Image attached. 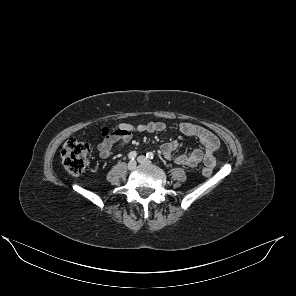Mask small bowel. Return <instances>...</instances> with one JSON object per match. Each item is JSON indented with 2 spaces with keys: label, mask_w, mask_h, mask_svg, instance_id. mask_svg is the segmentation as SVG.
Returning <instances> with one entry per match:
<instances>
[{
  "label": "small bowel",
  "mask_w": 296,
  "mask_h": 296,
  "mask_svg": "<svg viewBox=\"0 0 296 296\" xmlns=\"http://www.w3.org/2000/svg\"><path fill=\"white\" fill-rule=\"evenodd\" d=\"M166 125L163 122H138L134 124L121 123L115 129L108 127L101 129L102 140L97 145L99 156L102 159H108L112 156L115 149L127 145L135 133H155L165 130ZM182 134L194 137L202 145L203 149H193L186 153L174 156V152L179 148V142L170 141L161 146L162 154L173 159L175 163L187 167H195L200 162L205 165L215 166V152L219 148L218 138L209 130L191 122H182L179 125Z\"/></svg>",
  "instance_id": "c3829d8e"
}]
</instances>
